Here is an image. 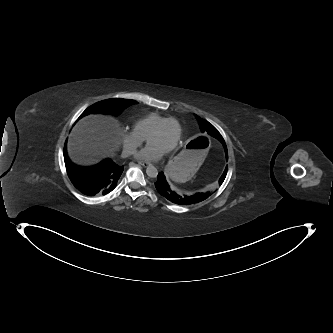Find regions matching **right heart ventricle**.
Masks as SVG:
<instances>
[{
  "instance_id": "right-heart-ventricle-1",
  "label": "right heart ventricle",
  "mask_w": 333,
  "mask_h": 333,
  "mask_svg": "<svg viewBox=\"0 0 333 333\" xmlns=\"http://www.w3.org/2000/svg\"><path fill=\"white\" fill-rule=\"evenodd\" d=\"M169 116L151 112L140 118L134 123V130L144 139H147L150 133Z\"/></svg>"
}]
</instances>
